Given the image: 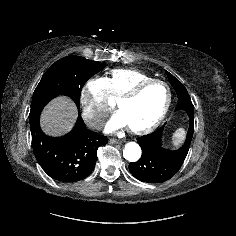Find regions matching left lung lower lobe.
<instances>
[{"mask_svg":"<svg viewBox=\"0 0 236 236\" xmlns=\"http://www.w3.org/2000/svg\"><path fill=\"white\" fill-rule=\"evenodd\" d=\"M176 110L185 111L190 120L186 140L177 150H168L162 146L164 125L151 134L137 138L142 149V156L137 162L129 164L131 174L140 181L161 183L173 177L181 168L194 132L193 104L190 100L179 102Z\"/></svg>","mask_w":236,"mask_h":236,"instance_id":"0a47b994","label":"left lung lower lobe"}]
</instances>
